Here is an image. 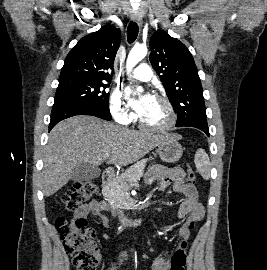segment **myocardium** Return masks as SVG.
Listing matches in <instances>:
<instances>
[{"instance_id":"obj_1","label":"myocardium","mask_w":267,"mask_h":270,"mask_svg":"<svg viewBox=\"0 0 267 270\" xmlns=\"http://www.w3.org/2000/svg\"><path fill=\"white\" fill-rule=\"evenodd\" d=\"M159 102H161L168 113V120L164 125L161 126H153V125H149L147 123H145L141 116L138 117V124L141 128L151 131V132H158V133H162V132H167L169 130H171L174 125L176 124L177 121V115L175 112V109L172 105V103L165 97L157 95L156 98Z\"/></svg>"}]
</instances>
